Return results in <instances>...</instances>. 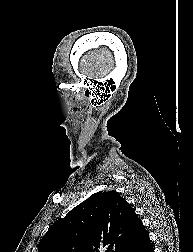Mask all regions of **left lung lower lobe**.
<instances>
[{
  "label": "left lung lower lobe",
  "instance_id": "0a47b994",
  "mask_svg": "<svg viewBox=\"0 0 193 252\" xmlns=\"http://www.w3.org/2000/svg\"><path fill=\"white\" fill-rule=\"evenodd\" d=\"M124 252H154L149 235L142 222L135 228Z\"/></svg>",
  "mask_w": 193,
  "mask_h": 252
}]
</instances>
